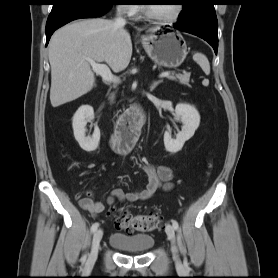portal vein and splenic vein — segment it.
<instances>
[{
	"mask_svg": "<svg viewBox=\"0 0 278 278\" xmlns=\"http://www.w3.org/2000/svg\"><path fill=\"white\" fill-rule=\"evenodd\" d=\"M89 63L92 66L94 72L99 74L104 80L109 81V82H117L118 81V79L111 73V71L107 65L96 63L93 60H89ZM173 73L174 72H170V71L163 72L160 74L159 77H161V78L169 77Z\"/></svg>",
	"mask_w": 278,
	"mask_h": 278,
	"instance_id": "18ae733b",
	"label": "portal vein and splenic vein"
}]
</instances>
